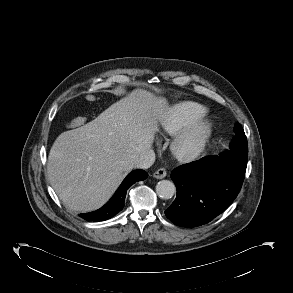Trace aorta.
Listing matches in <instances>:
<instances>
[{
	"label": "aorta",
	"mask_w": 293,
	"mask_h": 293,
	"mask_svg": "<svg viewBox=\"0 0 293 293\" xmlns=\"http://www.w3.org/2000/svg\"><path fill=\"white\" fill-rule=\"evenodd\" d=\"M176 187L169 180H161L156 185V193L162 199H170L174 196Z\"/></svg>",
	"instance_id": "aorta-1"
}]
</instances>
